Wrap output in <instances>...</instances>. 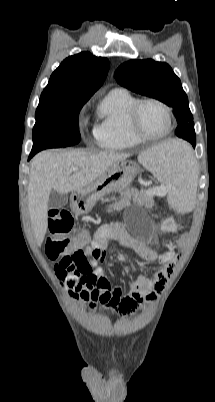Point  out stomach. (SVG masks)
<instances>
[{
  "label": "stomach",
  "instance_id": "1",
  "mask_svg": "<svg viewBox=\"0 0 215 402\" xmlns=\"http://www.w3.org/2000/svg\"><path fill=\"white\" fill-rule=\"evenodd\" d=\"M139 172V165L133 161L124 160L114 164L95 182L74 191L72 205L75 212L87 214L100 198L128 187Z\"/></svg>",
  "mask_w": 215,
  "mask_h": 402
}]
</instances>
